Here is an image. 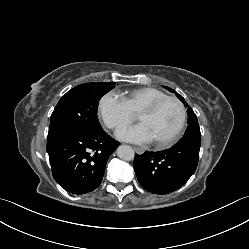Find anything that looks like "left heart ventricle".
Segmentation results:
<instances>
[{
  "label": "left heart ventricle",
  "instance_id": "obj_1",
  "mask_svg": "<svg viewBox=\"0 0 249 249\" xmlns=\"http://www.w3.org/2000/svg\"><path fill=\"white\" fill-rule=\"evenodd\" d=\"M137 119L146 126L153 141H161L177 129L181 110L175 101L169 100L162 103L153 113L137 115Z\"/></svg>",
  "mask_w": 249,
  "mask_h": 249
}]
</instances>
